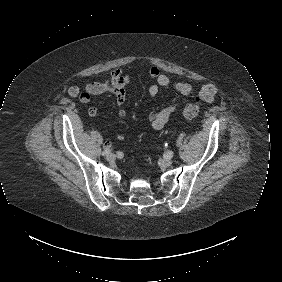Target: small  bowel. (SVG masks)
Wrapping results in <instances>:
<instances>
[{"mask_svg":"<svg viewBox=\"0 0 282 282\" xmlns=\"http://www.w3.org/2000/svg\"><path fill=\"white\" fill-rule=\"evenodd\" d=\"M149 76L154 79V83L150 85L148 93L151 97H156L161 88L172 87L176 92L188 96L197 91L198 96H201L204 102L212 103L215 100L216 88L212 84H203L197 90L190 84L184 82H171L169 77L163 74L159 68L150 67L148 69ZM132 76L129 74H123L120 68H116L112 71L111 75L103 82H92L86 85L84 88L79 86H71L68 89V95L72 98H79L82 102V96H99L110 93L115 96L117 111L120 117L126 116L125 102H126V85L131 81ZM182 105V103H176L167 106L160 111H156L150 114L149 124L155 130L162 129L172 114ZM98 114L97 107H91L88 110L89 117H95ZM118 140H124L125 134L123 132L117 133Z\"/></svg>","mask_w":282,"mask_h":282,"instance_id":"1","label":"small bowel"}]
</instances>
